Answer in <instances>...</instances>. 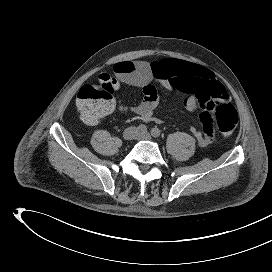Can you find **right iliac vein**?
Wrapping results in <instances>:
<instances>
[{
  "instance_id": "right-iliac-vein-1",
  "label": "right iliac vein",
  "mask_w": 272,
  "mask_h": 272,
  "mask_svg": "<svg viewBox=\"0 0 272 272\" xmlns=\"http://www.w3.org/2000/svg\"><path fill=\"white\" fill-rule=\"evenodd\" d=\"M137 135V129L134 127H130L125 130L123 137L125 140H132L136 137Z\"/></svg>"
}]
</instances>
